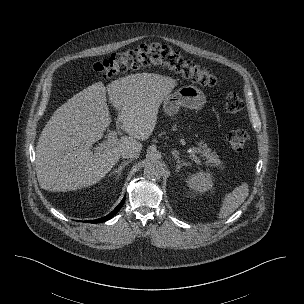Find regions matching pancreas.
<instances>
[{
  "label": "pancreas",
  "instance_id": "pancreas-1",
  "mask_svg": "<svg viewBox=\"0 0 304 304\" xmlns=\"http://www.w3.org/2000/svg\"><path fill=\"white\" fill-rule=\"evenodd\" d=\"M202 148L203 150L198 148L196 149V151L201 152L203 154V157L207 159V162L210 166L221 168L223 162L220 159H218V155L216 154V152H212L210 149L204 146Z\"/></svg>",
  "mask_w": 304,
  "mask_h": 304
}]
</instances>
